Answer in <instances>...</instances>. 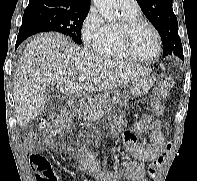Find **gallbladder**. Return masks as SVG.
<instances>
[{
    "mask_svg": "<svg viewBox=\"0 0 197 181\" xmlns=\"http://www.w3.org/2000/svg\"><path fill=\"white\" fill-rule=\"evenodd\" d=\"M55 92V89L53 87L47 88V107L50 109L54 108V101L51 98V95Z\"/></svg>",
    "mask_w": 197,
    "mask_h": 181,
    "instance_id": "1",
    "label": "gallbladder"
}]
</instances>
